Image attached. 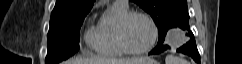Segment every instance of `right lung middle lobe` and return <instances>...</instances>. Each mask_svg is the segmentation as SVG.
Masks as SVG:
<instances>
[{
  "mask_svg": "<svg viewBox=\"0 0 242 64\" xmlns=\"http://www.w3.org/2000/svg\"><path fill=\"white\" fill-rule=\"evenodd\" d=\"M87 13L50 20L47 39L48 53L45 64H57L79 50L80 27Z\"/></svg>",
  "mask_w": 242,
  "mask_h": 64,
  "instance_id": "dd1d6c3e",
  "label": "right lung middle lobe"
}]
</instances>
